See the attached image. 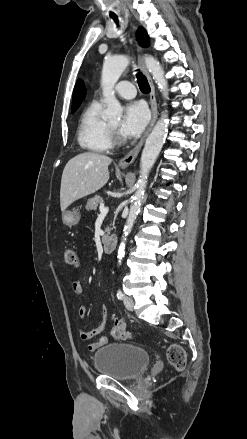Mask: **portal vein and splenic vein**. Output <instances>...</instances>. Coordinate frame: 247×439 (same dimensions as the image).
<instances>
[{
  "mask_svg": "<svg viewBox=\"0 0 247 439\" xmlns=\"http://www.w3.org/2000/svg\"><path fill=\"white\" fill-rule=\"evenodd\" d=\"M99 209H100V216H105L109 211V208L105 207V205L103 203L100 204Z\"/></svg>",
  "mask_w": 247,
  "mask_h": 439,
  "instance_id": "portal-vein-and-splenic-vein-1",
  "label": "portal vein and splenic vein"
}]
</instances>
